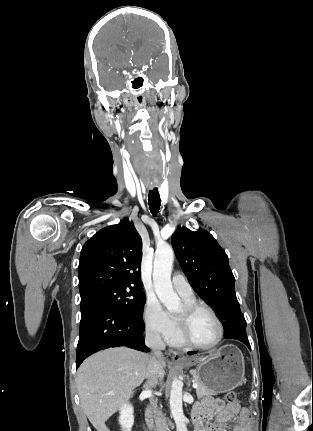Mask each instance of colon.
<instances>
[{
  "instance_id": "obj_1",
  "label": "colon",
  "mask_w": 313,
  "mask_h": 431,
  "mask_svg": "<svg viewBox=\"0 0 313 431\" xmlns=\"http://www.w3.org/2000/svg\"><path fill=\"white\" fill-rule=\"evenodd\" d=\"M225 399L229 404L238 403V396L234 391H229L225 394Z\"/></svg>"
}]
</instances>
